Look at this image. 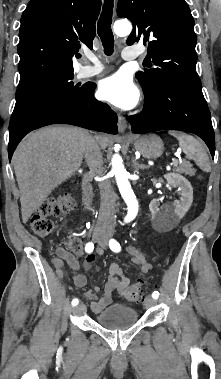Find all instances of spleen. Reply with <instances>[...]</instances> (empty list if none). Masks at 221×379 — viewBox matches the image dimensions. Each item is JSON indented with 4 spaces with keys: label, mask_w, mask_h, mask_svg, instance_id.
<instances>
[{
    "label": "spleen",
    "mask_w": 221,
    "mask_h": 379,
    "mask_svg": "<svg viewBox=\"0 0 221 379\" xmlns=\"http://www.w3.org/2000/svg\"><path fill=\"white\" fill-rule=\"evenodd\" d=\"M171 135L177 138L180 148L188 159L194 160L204 172H210L211 166L207 151L196 138L182 132H171Z\"/></svg>",
    "instance_id": "1"
}]
</instances>
